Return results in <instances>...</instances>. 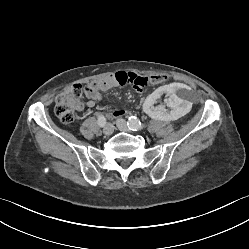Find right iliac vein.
Listing matches in <instances>:
<instances>
[{"label":"right iliac vein","instance_id":"1","mask_svg":"<svg viewBox=\"0 0 249 249\" xmlns=\"http://www.w3.org/2000/svg\"><path fill=\"white\" fill-rule=\"evenodd\" d=\"M114 131V126L113 124L111 123H107L103 129V133L106 135V136H109L113 133Z\"/></svg>","mask_w":249,"mask_h":249}]
</instances>
